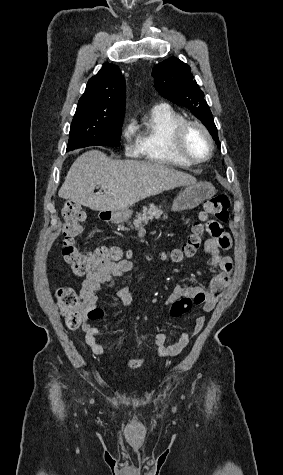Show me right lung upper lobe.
I'll list each match as a JSON object with an SVG mask.
<instances>
[{
  "label": "right lung upper lobe",
  "instance_id": "1",
  "mask_svg": "<svg viewBox=\"0 0 283 475\" xmlns=\"http://www.w3.org/2000/svg\"><path fill=\"white\" fill-rule=\"evenodd\" d=\"M79 104L125 105V80L119 67L105 63L96 76L89 79Z\"/></svg>",
  "mask_w": 283,
  "mask_h": 475
}]
</instances>
